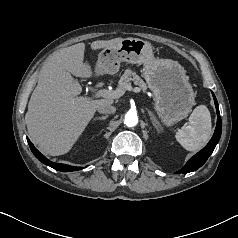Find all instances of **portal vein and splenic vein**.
I'll return each mask as SVG.
<instances>
[{"label":"portal vein and splenic vein","mask_w":238,"mask_h":238,"mask_svg":"<svg viewBox=\"0 0 238 238\" xmlns=\"http://www.w3.org/2000/svg\"><path fill=\"white\" fill-rule=\"evenodd\" d=\"M125 90L128 91H133V92H139L140 89L139 88H132L131 85H127L125 87ZM125 90L121 91V90H106V89H101L99 91H97L94 95V97L98 98V97H103V98H110V99H117L120 98L121 96L124 95Z\"/></svg>","instance_id":"18ae733b"}]
</instances>
